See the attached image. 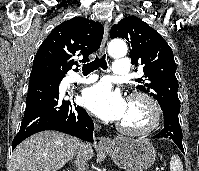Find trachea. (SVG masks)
<instances>
[{"label":"trachea","mask_w":199,"mask_h":171,"mask_svg":"<svg viewBox=\"0 0 199 171\" xmlns=\"http://www.w3.org/2000/svg\"><path fill=\"white\" fill-rule=\"evenodd\" d=\"M105 57H106L105 54L102 55L101 57L96 56V58L93 62H90V63L83 65L82 72L84 74H89V73L93 72L94 70L98 69L99 67L106 70L108 67H107Z\"/></svg>","instance_id":"1"}]
</instances>
